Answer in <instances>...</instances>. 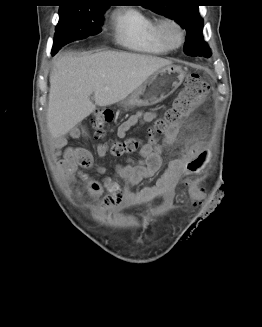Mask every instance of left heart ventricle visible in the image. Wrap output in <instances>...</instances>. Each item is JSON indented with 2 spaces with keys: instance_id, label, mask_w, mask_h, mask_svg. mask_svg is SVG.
<instances>
[{
  "instance_id": "left-heart-ventricle-1",
  "label": "left heart ventricle",
  "mask_w": 262,
  "mask_h": 327,
  "mask_svg": "<svg viewBox=\"0 0 262 327\" xmlns=\"http://www.w3.org/2000/svg\"><path fill=\"white\" fill-rule=\"evenodd\" d=\"M171 36L175 39L176 38V32L174 30L170 31Z\"/></svg>"
}]
</instances>
